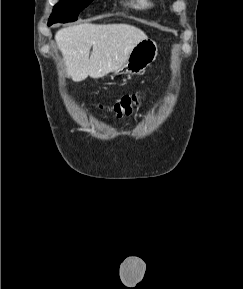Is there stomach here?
Here are the masks:
<instances>
[{
  "instance_id": "obj_1",
  "label": "stomach",
  "mask_w": 243,
  "mask_h": 289,
  "mask_svg": "<svg viewBox=\"0 0 243 289\" xmlns=\"http://www.w3.org/2000/svg\"><path fill=\"white\" fill-rule=\"evenodd\" d=\"M157 55V44L151 39H144L132 49L123 66L113 71V73L115 75L140 74L155 61Z\"/></svg>"
}]
</instances>
